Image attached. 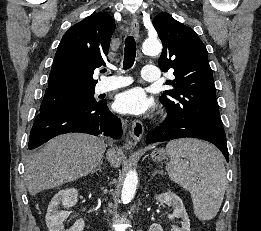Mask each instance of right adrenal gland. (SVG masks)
<instances>
[{"instance_id":"2a0ac1e0","label":"right adrenal gland","mask_w":261,"mask_h":231,"mask_svg":"<svg viewBox=\"0 0 261 231\" xmlns=\"http://www.w3.org/2000/svg\"><path fill=\"white\" fill-rule=\"evenodd\" d=\"M101 165H102V161L97 165V168H95V169L91 172V174H93V173H95V172H97V171L102 172V170H101Z\"/></svg>"}]
</instances>
